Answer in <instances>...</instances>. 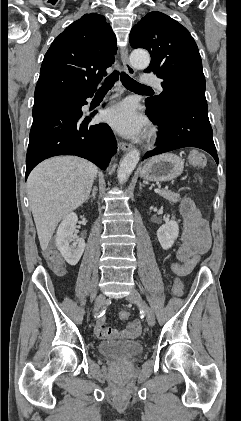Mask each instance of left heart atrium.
<instances>
[{"label": "left heart atrium", "instance_id": "left-heart-atrium-1", "mask_svg": "<svg viewBox=\"0 0 241 421\" xmlns=\"http://www.w3.org/2000/svg\"><path fill=\"white\" fill-rule=\"evenodd\" d=\"M105 120L119 133L139 137L146 132L147 121L131 101L120 102L105 112Z\"/></svg>", "mask_w": 241, "mask_h": 421}]
</instances>
